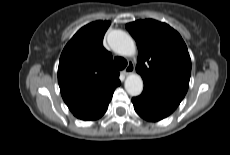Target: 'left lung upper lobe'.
<instances>
[{"label":"left lung upper lobe","instance_id":"5c2ea615","mask_svg":"<svg viewBox=\"0 0 230 155\" xmlns=\"http://www.w3.org/2000/svg\"><path fill=\"white\" fill-rule=\"evenodd\" d=\"M138 47L137 72L144 89L180 104L189 86L191 59L179 33L153 19L126 25Z\"/></svg>","mask_w":230,"mask_h":155}]
</instances>
